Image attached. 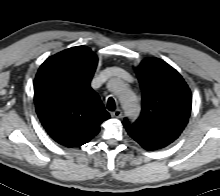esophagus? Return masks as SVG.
Returning <instances> with one entry per match:
<instances>
[{"label": "esophagus", "mask_w": 220, "mask_h": 196, "mask_svg": "<svg viewBox=\"0 0 220 196\" xmlns=\"http://www.w3.org/2000/svg\"><path fill=\"white\" fill-rule=\"evenodd\" d=\"M111 116L114 118H121L122 117V111L120 109H117L113 112H111Z\"/></svg>", "instance_id": "obj_1"}]
</instances>
